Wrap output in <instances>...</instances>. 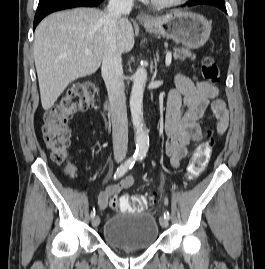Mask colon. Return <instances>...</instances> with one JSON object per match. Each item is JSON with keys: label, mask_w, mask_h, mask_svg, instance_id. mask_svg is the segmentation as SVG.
Segmentation results:
<instances>
[{"label": "colon", "mask_w": 265, "mask_h": 269, "mask_svg": "<svg viewBox=\"0 0 265 269\" xmlns=\"http://www.w3.org/2000/svg\"><path fill=\"white\" fill-rule=\"evenodd\" d=\"M203 78L215 86L220 82V70L212 56H205L201 62ZM97 88L93 83H84L70 89L44 115L42 127L43 139L51 152V159L65 166L70 176L75 174V168L69 161L70 130L68 120L78 111H85L94 104ZM212 151V133L206 132L205 139L198 144L187 167L186 179L193 181L198 178L207 166ZM147 197L143 195H124L114 202V206L124 213H134L143 210Z\"/></svg>", "instance_id": "5ec220e1"}]
</instances>
